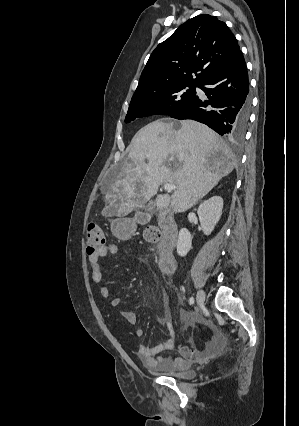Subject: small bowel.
<instances>
[{"mask_svg":"<svg viewBox=\"0 0 299 426\" xmlns=\"http://www.w3.org/2000/svg\"><path fill=\"white\" fill-rule=\"evenodd\" d=\"M117 252L118 246L115 243H107L98 248L88 257L92 280L95 283L100 284V293L103 298H108L110 296V290L108 286L103 283L104 275L102 266L100 264V258L108 255H114ZM122 301V297H114L111 299V305L113 307H118ZM120 314L130 325L136 324L137 318L135 313L130 311H121ZM181 316L185 317L188 323H191V318L185 312H182ZM166 327L170 335L169 339L152 347L140 345L138 348L137 355L143 364L148 368H174L185 370L190 367L191 363L203 360L215 348L214 342L205 343L202 349L197 348L194 343H192L190 347L182 345L177 346L175 340V330L171 321L166 322ZM135 335L137 337H142L144 335L143 328H136ZM174 348H177L179 352L178 357L173 358L158 356L162 351L171 350Z\"/></svg>","mask_w":299,"mask_h":426,"instance_id":"small-bowel-1","label":"small bowel"}]
</instances>
